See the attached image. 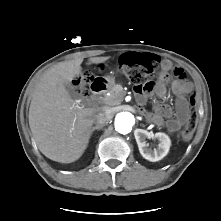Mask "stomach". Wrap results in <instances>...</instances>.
<instances>
[{
	"label": "stomach",
	"instance_id": "stomach-1",
	"mask_svg": "<svg viewBox=\"0 0 221 221\" xmlns=\"http://www.w3.org/2000/svg\"><path fill=\"white\" fill-rule=\"evenodd\" d=\"M108 82H109V84H113L114 83V79L113 78H108Z\"/></svg>",
	"mask_w": 221,
	"mask_h": 221
}]
</instances>
